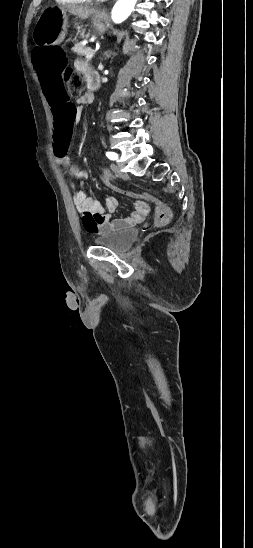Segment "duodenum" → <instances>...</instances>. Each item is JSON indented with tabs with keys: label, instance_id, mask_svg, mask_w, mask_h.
I'll return each mask as SVG.
<instances>
[{
	"label": "duodenum",
	"instance_id": "1",
	"mask_svg": "<svg viewBox=\"0 0 253 548\" xmlns=\"http://www.w3.org/2000/svg\"><path fill=\"white\" fill-rule=\"evenodd\" d=\"M99 86V78L97 75H91L88 78V88L93 91L96 90Z\"/></svg>",
	"mask_w": 253,
	"mask_h": 548
}]
</instances>
